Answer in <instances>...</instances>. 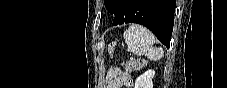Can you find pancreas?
<instances>
[{"instance_id": "pancreas-1", "label": "pancreas", "mask_w": 227, "mask_h": 88, "mask_svg": "<svg viewBox=\"0 0 227 88\" xmlns=\"http://www.w3.org/2000/svg\"><path fill=\"white\" fill-rule=\"evenodd\" d=\"M145 65V61H140L138 59H133L128 61L125 64V69L129 72H134L136 70L141 69Z\"/></svg>"}]
</instances>
